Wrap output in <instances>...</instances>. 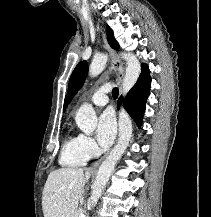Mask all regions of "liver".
<instances>
[{
    "mask_svg": "<svg viewBox=\"0 0 211 217\" xmlns=\"http://www.w3.org/2000/svg\"><path fill=\"white\" fill-rule=\"evenodd\" d=\"M91 173L82 168H60L48 175L42 193L44 217H72Z\"/></svg>",
    "mask_w": 211,
    "mask_h": 217,
    "instance_id": "obj_1",
    "label": "liver"
}]
</instances>
